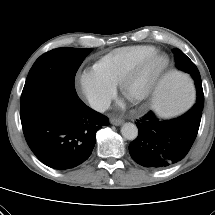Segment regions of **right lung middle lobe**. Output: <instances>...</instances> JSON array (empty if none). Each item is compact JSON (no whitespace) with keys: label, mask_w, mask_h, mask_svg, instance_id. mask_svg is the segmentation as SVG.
<instances>
[{"label":"right lung middle lobe","mask_w":215,"mask_h":215,"mask_svg":"<svg viewBox=\"0 0 215 215\" xmlns=\"http://www.w3.org/2000/svg\"><path fill=\"white\" fill-rule=\"evenodd\" d=\"M90 52L89 48H58L36 60L21 95L22 126L36 117L48 102L74 89L75 74Z\"/></svg>","instance_id":"dd1d6c3e"}]
</instances>
